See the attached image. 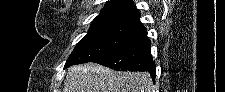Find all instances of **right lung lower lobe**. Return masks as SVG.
Returning <instances> with one entry per match:
<instances>
[{
    "instance_id": "1",
    "label": "right lung lower lobe",
    "mask_w": 225,
    "mask_h": 92,
    "mask_svg": "<svg viewBox=\"0 0 225 92\" xmlns=\"http://www.w3.org/2000/svg\"><path fill=\"white\" fill-rule=\"evenodd\" d=\"M150 46V39L145 34L141 38L100 55L90 62L98 63L114 70L148 71L155 82L156 66L152 59Z\"/></svg>"
}]
</instances>
